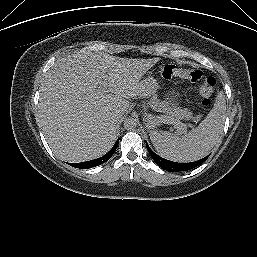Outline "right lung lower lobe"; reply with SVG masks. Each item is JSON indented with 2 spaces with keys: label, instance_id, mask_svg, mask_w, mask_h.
<instances>
[{
  "label": "right lung lower lobe",
  "instance_id": "98d812e1",
  "mask_svg": "<svg viewBox=\"0 0 257 257\" xmlns=\"http://www.w3.org/2000/svg\"><path fill=\"white\" fill-rule=\"evenodd\" d=\"M118 143H119V141L116 142L114 147L107 154H105L104 156H102L98 159L81 162V163H69V165L76 167V168L88 169V168L96 167L100 164H103L104 162L108 161L111 158V156L114 154L115 150L118 147Z\"/></svg>",
  "mask_w": 257,
  "mask_h": 257
}]
</instances>
